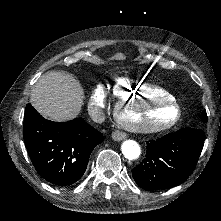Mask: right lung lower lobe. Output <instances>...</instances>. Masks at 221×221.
<instances>
[{
    "mask_svg": "<svg viewBox=\"0 0 221 221\" xmlns=\"http://www.w3.org/2000/svg\"><path fill=\"white\" fill-rule=\"evenodd\" d=\"M23 137L30 159L41 177L58 186L77 182L103 135L80 119L52 122L31 104L24 114Z\"/></svg>",
    "mask_w": 221,
    "mask_h": 221,
    "instance_id": "1",
    "label": "right lung lower lobe"
}]
</instances>
